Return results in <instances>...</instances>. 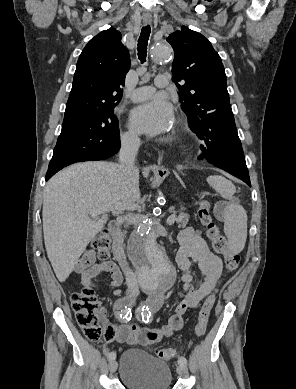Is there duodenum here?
I'll return each mask as SVG.
<instances>
[{
  "label": "duodenum",
  "mask_w": 296,
  "mask_h": 389,
  "mask_svg": "<svg viewBox=\"0 0 296 389\" xmlns=\"http://www.w3.org/2000/svg\"><path fill=\"white\" fill-rule=\"evenodd\" d=\"M108 230L113 241V255L118 261L123 271L126 273L128 272L129 264L124 250L123 238L119 222L116 220L110 221V223L108 224Z\"/></svg>",
  "instance_id": "duodenum-1"
}]
</instances>
